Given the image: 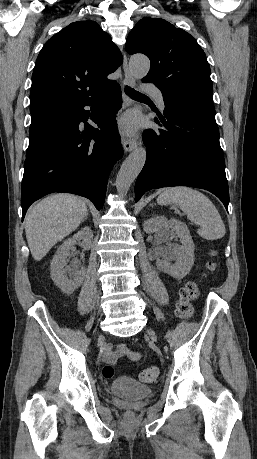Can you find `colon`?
<instances>
[{
  "label": "colon",
  "instance_id": "1",
  "mask_svg": "<svg viewBox=\"0 0 257 459\" xmlns=\"http://www.w3.org/2000/svg\"><path fill=\"white\" fill-rule=\"evenodd\" d=\"M209 270L213 271L216 268L214 261L209 262ZM199 293V287L195 282L187 283L179 293V301L176 307V314L182 319H188L193 314L192 302L195 300ZM114 367L111 365H105L102 370V375L106 379H110L114 376ZM158 376V369L155 367L145 368L140 372V379L144 382H152Z\"/></svg>",
  "mask_w": 257,
  "mask_h": 459
}]
</instances>
